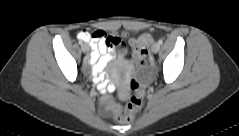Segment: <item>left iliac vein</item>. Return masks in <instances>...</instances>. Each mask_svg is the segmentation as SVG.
Segmentation results:
<instances>
[{"label": "left iliac vein", "mask_w": 239, "mask_h": 136, "mask_svg": "<svg viewBox=\"0 0 239 136\" xmlns=\"http://www.w3.org/2000/svg\"><path fill=\"white\" fill-rule=\"evenodd\" d=\"M153 53H158L160 50V44L159 43H154L152 48H151Z\"/></svg>", "instance_id": "obj_1"}]
</instances>
